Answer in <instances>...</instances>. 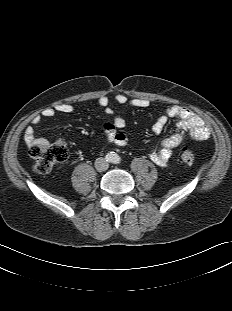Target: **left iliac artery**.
I'll return each instance as SVG.
<instances>
[{
	"instance_id": "left-iliac-artery-1",
	"label": "left iliac artery",
	"mask_w": 232,
	"mask_h": 311,
	"mask_svg": "<svg viewBox=\"0 0 232 311\" xmlns=\"http://www.w3.org/2000/svg\"><path fill=\"white\" fill-rule=\"evenodd\" d=\"M116 161H117V163H119V162H120V158H119V157H117V160H116Z\"/></svg>"
}]
</instances>
